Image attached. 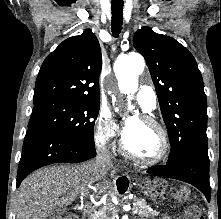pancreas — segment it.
I'll return each mask as SVG.
<instances>
[{"instance_id":"pancreas-1","label":"pancreas","mask_w":221,"mask_h":219,"mask_svg":"<svg viewBox=\"0 0 221 219\" xmlns=\"http://www.w3.org/2000/svg\"><path fill=\"white\" fill-rule=\"evenodd\" d=\"M113 210V211H111ZM136 210V213L141 218H152L159 215V212L150 208L144 199L135 198L133 200V211ZM111 213H115V210L112 208H107L99 211L92 219H113L111 218Z\"/></svg>"}]
</instances>
